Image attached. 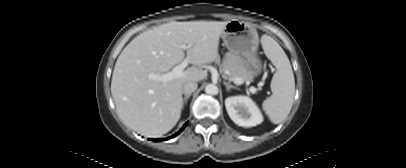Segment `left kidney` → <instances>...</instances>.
I'll use <instances>...</instances> for the list:
<instances>
[{"label": "left kidney", "instance_id": "left-kidney-1", "mask_svg": "<svg viewBox=\"0 0 406 168\" xmlns=\"http://www.w3.org/2000/svg\"><path fill=\"white\" fill-rule=\"evenodd\" d=\"M225 107L231 120L238 126L252 127L263 121L257 105L247 96H231L226 98Z\"/></svg>", "mask_w": 406, "mask_h": 168}]
</instances>
